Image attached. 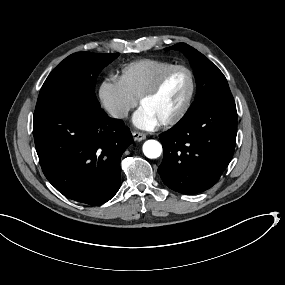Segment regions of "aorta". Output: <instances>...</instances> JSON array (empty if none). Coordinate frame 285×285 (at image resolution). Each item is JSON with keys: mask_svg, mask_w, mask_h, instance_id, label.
I'll return each mask as SVG.
<instances>
[{"mask_svg": "<svg viewBox=\"0 0 285 285\" xmlns=\"http://www.w3.org/2000/svg\"><path fill=\"white\" fill-rule=\"evenodd\" d=\"M143 153L150 159L158 158L162 153V146L156 140H148L143 144Z\"/></svg>", "mask_w": 285, "mask_h": 285, "instance_id": "aorta-1", "label": "aorta"}]
</instances>
